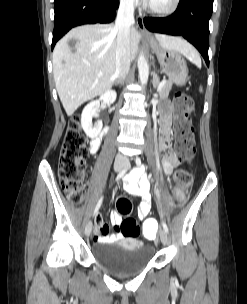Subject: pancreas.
<instances>
[{"mask_svg": "<svg viewBox=\"0 0 247 304\" xmlns=\"http://www.w3.org/2000/svg\"><path fill=\"white\" fill-rule=\"evenodd\" d=\"M172 81H166L165 84L159 89V96L161 98H166L169 95V92L172 88Z\"/></svg>", "mask_w": 247, "mask_h": 304, "instance_id": "pancreas-1", "label": "pancreas"}]
</instances>
